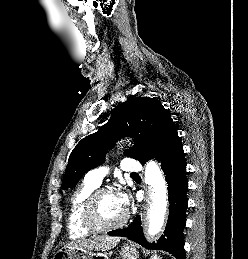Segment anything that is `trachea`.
<instances>
[{
    "mask_svg": "<svg viewBox=\"0 0 248 259\" xmlns=\"http://www.w3.org/2000/svg\"><path fill=\"white\" fill-rule=\"evenodd\" d=\"M132 175H137L136 173H132Z\"/></svg>",
    "mask_w": 248,
    "mask_h": 259,
    "instance_id": "trachea-1",
    "label": "trachea"
}]
</instances>
